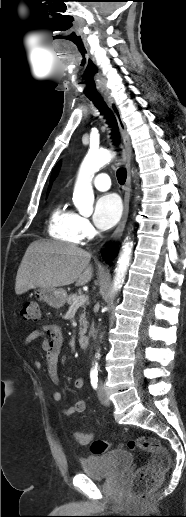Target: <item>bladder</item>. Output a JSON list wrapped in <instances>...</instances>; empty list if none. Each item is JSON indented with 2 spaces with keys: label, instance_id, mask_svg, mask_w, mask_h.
<instances>
[{
  "label": "bladder",
  "instance_id": "31cf9c89",
  "mask_svg": "<svg viewBox=\"0 0 186 517\" xmlns=\"http://www.w3.org/2000/svg\"><path fill=\"white\" fill-rule=\"evenodd\" d=\"M133 456L126 450H113L82 459V472L94 479L120 476L131 465Z\"/></svg>",
  "mask_w": 186,
  "mask_h": 517
}]
</instances>
